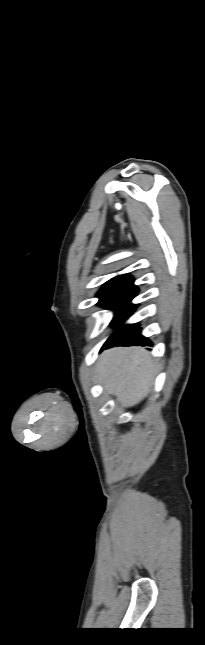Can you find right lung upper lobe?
Segmentation results:
<instances>
[{
  "instance_id": "cb5924a9",
  "label": "right lung upper lobe",
  "mask_w": 205,
  "mask_h": 645,
  "mask_svg": "<svg viewBox=\"0 0 205 645\" xmlns=\"http://www.w3.org/2000/svg\"><path fill=\"white\" fill-rule=\"evenodd\" d=\"M134 279L129 274L119 275L105 283L104 287L98 292L97 296L100 301H104L109 296L126 291H137L138 288L133 284Z\"/></svg>"
}]
</instances>
